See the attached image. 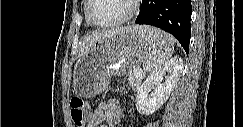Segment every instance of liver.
Segmentation results:
<instances>
[{
	"instance_id": "6515ba94",
	"label": "liver",
	"mask_w": 243,
	"mask_h": 127,
	"mask_svg": "<svg viewBox=\"0 0 243 127\" xmlns=\"http://www.w3.org/2000/svg\"><path fill=\"white\" fill-rule=\"evenodd\" d=\"M134 27V26H133ZM133 27H122V28H116L111 30H101V31H94L91 34L85 36L83 40L80 43V56L85 55L89 52V50L92 48V46L100 39L113 35L114 33L122 30L131 29Z\"/></svg>"
}]
</instances>
